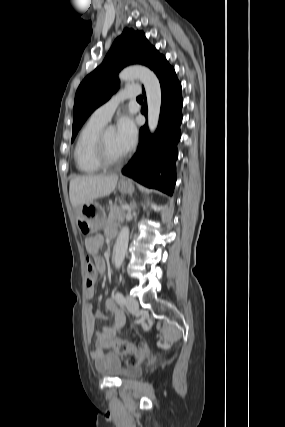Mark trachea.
Wrapping results in <instances>:
<instances>
[{
	"mask_svg": "<svg viewBox=\"0 0 285 427\" xmlns=\"http://www.w3.org/2000/svg\"><path fill=\"white\" fill-rule=\"evenodd\" d=\"M142 99H143L142 96L137 97V100H142Z\"/></svg>",
	"mask_w": 285,
	"mask_h": 427,
	"instance_id": "3493384b",
	"label": "trachea"
}]
</instances>
